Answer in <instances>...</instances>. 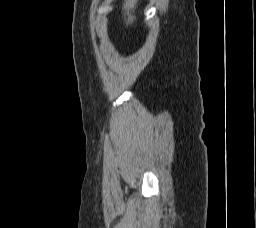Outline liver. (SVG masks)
<instances>
[{
	"label": "liver",
	"mask_w": 256,
	"mask_h": 228,
	"mask_svg": "<svg viewBox=\"0 0 256 228\" xmlns=\"http://www.w3.org/2000/svg\"><path fill=\"white\" fill-rule=\"evenodd\" d=\"M136 4L137 0H126L123 5V9L128 16L127 24L132 23L134 20V16L131 14V12L134 10Z\"/></svg>",
	"instance_id": "6515ba94"
}]
</instances>
